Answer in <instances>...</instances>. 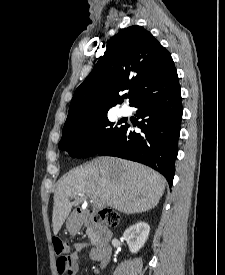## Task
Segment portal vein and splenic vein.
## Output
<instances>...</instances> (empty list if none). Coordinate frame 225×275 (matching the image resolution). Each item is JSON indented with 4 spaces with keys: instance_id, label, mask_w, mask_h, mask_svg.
<instances>
[{
    "instance_id": "obj_1",
    "label": "portal vein and splenic vein",
    "mask_w": 225,
    "mask_h": 275,
    "mask_svg": "<svg viewBox=\"0 0 225 275\" xmlns=\"http://www.w3.org/2000/svg\"><path fill=\"white\" fill-rule=\"evenodd\" d=\"M93 200H94V204L96 205V207H98V208L103 207V203H102L101 200H98V199H95V198H93Z\"/></svg>"
}]
</instances>
